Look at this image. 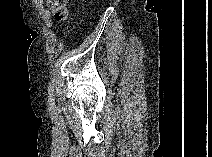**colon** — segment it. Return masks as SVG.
<instances>
[{"mask_svg":"<svg viewBox=\"0 0 212 157\" xmlns=\"http://www.w3.org/2000/svg\"><path fill=\"white\" fill-rule=\"evenodd\" d=\"M66 5V2L63 0H48V6L52 14L59 22H63L67 19L68 12Z\"/></svg>","mask_w":212,"mask_h":157,"instance_id":"obj_1","label":"colon"}]
</instances>
